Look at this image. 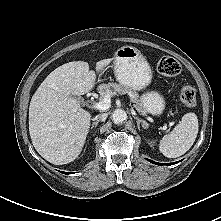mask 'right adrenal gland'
<instances>
[{
	"mask_svg": "<svg viewBox=\"0 0 221 221\" xmlns=\"http://www.w3.org/2000/svg\"><path fill=\"white\" fill-rule=\"evenodd\" d=\"M98 123H99L98 121L93 122V123H92V126H91V129H93L94 127L96 128V127H97V125H98Z\"/></svg>",
	"mask_w": 221,
	"mask_h": 221,
	"instance_id": "obj_1",
	"label": "right adrenal gland"
}]
</instances>
